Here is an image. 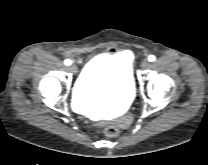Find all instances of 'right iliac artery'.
Segmentation results:
<instances>
[{
	"mask_svg": "<svg viewBox=\"0 0 208 165\" xmlns=\"http://www.w3.org/2000/svg\"><path fill=\"white\" fill-rule=\"evenodd\" d=\"M64 63H65V65L69 66L71 64V61L67 59L64 61Z\"/></svg>",
	"mask_w": 208,
	"mask_h": 165,
	"instance_id": "obj_1",
	"label": "right iliac artery"
}]
</instances>
